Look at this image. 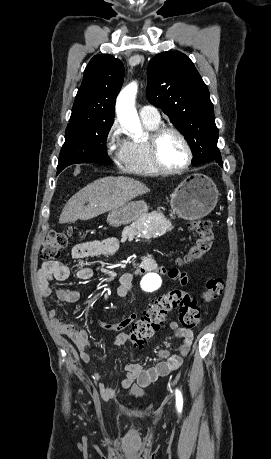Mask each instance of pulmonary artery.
Segmentation results:
<instances>
[{
  "label": "pulmonary artery",
  "instance_id": "pulmonary-artery-1",
  "mask_svg": "<svg viewBox=\"0 0 271 459\" xmlns=\"http://www.w3.org/2000/svg\"><path fill=\"white\" fill-rule=\"evenodd\" d=\"M139 114L142 120L148 121L154 124L160 122V113L157 108L152 105H146L140 108Z\"/></svg>",
  "mask_w": 271,
  "mask_h": 459
}]
</instances>
